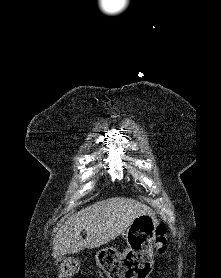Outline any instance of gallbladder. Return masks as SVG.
Returning <instances> with one entry per match:
<instances>
[{
  "instance_id": "gallbladder-1",
  "label": "gallbladder",
  "mask_w": 221,
  "mask_h": 278,
  "mask_svg": "<svg viewBox=\"0 0 221 278\" xmlns=\"http://www.w3.org/2000/svg\"><path fill=\"white\" fill-rule=\"evenodd\" d=\"M64 258H65L64 256H58V257H56V262L58 263V262L62 261Z\"/></svg>"
}]
</instances>
